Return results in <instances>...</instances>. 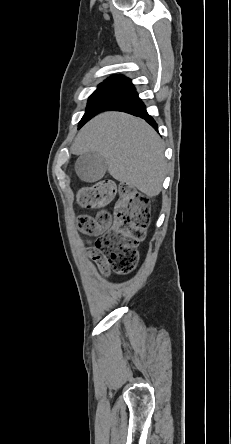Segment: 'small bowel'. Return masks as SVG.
Returning a JSON list of instances; mask_svg holds the SVG:
<instances>
[{"label":"small bowel","instance_id":"obj_1","mask_svg":"<svg viewBox=\"0 0 231 444\" xmlns=\"http://www.w3.org/2000/svg\"><path fill=\"white\" fill-rule=\"evenodd\" d=\"M90 258H91V261L97 265V267L99 268V270L101 272H104V273L109 272V269H108L107 265L105 264L103 258L96 251H94V250L91 251Z\"/></svg>","mask_w":231,"mask_h":444}]
</instances>
